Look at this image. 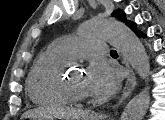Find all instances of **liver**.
I'll return each mask as SVG.
<instances>
[{"instance_id": "liver-1", "label": "liver", "mask_w": 165, "mask_h": 120, "mask_svg": "<svg viewBox=\"0 0 165 120\" xmlns=\"http://www.w3.org/2000/svg\"><path fill=\"white\" fill-rule=\"evenodd\" d=\"M87 115H88L87 111L58 107V108H52V109H47V110L43 108L33 109V110L25 112L22 115V118L56 117V118L64 119V120H80L81 118H85Z\"/></svg>"}]
</instances>
